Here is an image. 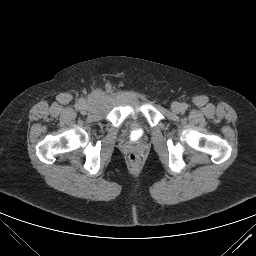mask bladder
<instances>
[{"label": "bladder", "instance_id": "31cf9c89", "mask_svg": "<svg viewBox=\"0 0 256 256\" xmlns=\"http://www.w3.org/2000/svg\"><path fill=\"white\" fill-rule=\"evenodd\" d=\"M125 124H126V125L131 129V130H133V129H132V125H131V122H130V121H126V122H125Z\"/></svg>", "mask_w": 256, "mask_h": 256}]
</instances>
